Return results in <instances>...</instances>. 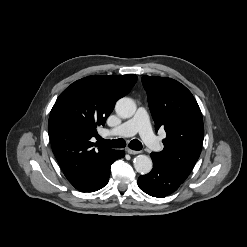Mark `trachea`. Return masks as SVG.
<instances>
[{"label": "trachea", "instance_id": "obj_1", "mask_svg": "<svg viewBox=\"0 0 247 247\" xmlns=\"http://www.w3.org/2000/svg\"><path fill=\"white\" fill-rule=\"evenodd\" d=\"M98 142L100 145H104V146H107L109 148H124L126 146V142L124 139L106 140V139L99 137ZM128 146L132 150H141L142 149V144L137 139L130 141Z\"/></svg>", "mask_w": 247, "mask_h": 247}]
</instances>
